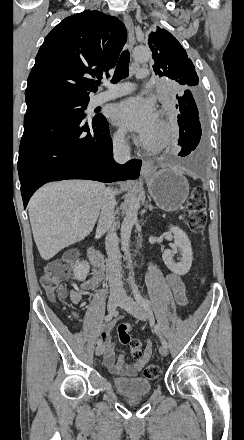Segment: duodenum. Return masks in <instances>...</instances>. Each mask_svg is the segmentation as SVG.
I'll return each instance as SVG.
<instances>
[{"label": "duodenum", "instance_id": "duodenum-1", "mask_svg": "<svg viewBox=\"0 0 244 440\" xmlns=\"http://www.w3.org/2000/svg\"><path fill=\"white\" fill-rule=\"evenodd\" d=\"M88 258L97 269H99L103 272L102 269L106 265V259L101 252L92 248V249H90V251L88 253Z\"/></svg>", "mask_w": 244, "mask_h": 440}]
</instances>
